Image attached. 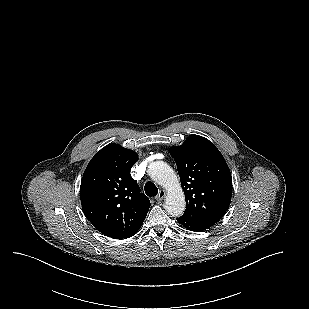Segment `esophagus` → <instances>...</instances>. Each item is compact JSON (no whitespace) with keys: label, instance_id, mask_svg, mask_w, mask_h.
Masks as SVG:
<instances>
[{"label":"esophagus","instance_id":"esophagus-1","mask_svg":"<svg viewBox=\"0 0 309 309\" xmlns=\"http://www.w3.org/2000/svg\"><path fill=\"white\" fill-rule=\"evenodd\" d=\"M165 196H166L165 190L161 189V190L159 191L158 195L155 197V199H156L157 201H161V200H163V199L165 198Z\"/></svg>","mask_w":309,"mask_h":309}]
</instances>
